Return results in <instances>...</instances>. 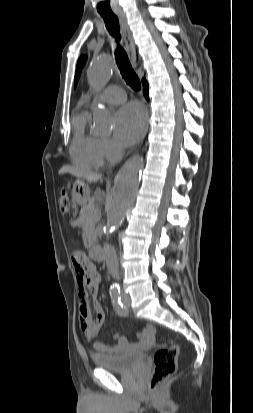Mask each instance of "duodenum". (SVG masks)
<instances>
[{
	"label": "duodenum",
	"instance_id": "obj_1",
	"mask_svg": "<svg viewBox=\"0 0 253 413\" xmlns=\"http://www.w3.org/2000/svg\"><path fill=\"white\" fill-rule=\"evenodd\" d=\"M90 256L97 261H102L104 259V252L103 249L98 246L94 245L89 248Z\"/></svg>",
	"mask_w": 253,
	"mask_h": 413
}]
</instances>
